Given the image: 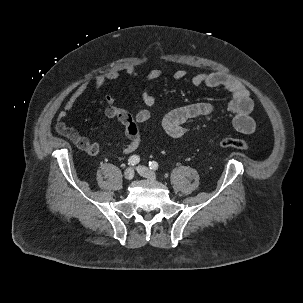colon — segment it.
Returning a JSON list of instances; mask_svg holds the SVG:
<instances>
[{
  "label": "colon",
  "instance_id": "obj_1",
  "mask_svg": "<svg viewBox=\"0 0 303 303\" xmlns=\"http://www.w3.org/2000/svg\"><path fill=\"white\" fill-rule=\"evenodd\" d=\"M219 144L222 147H231L235 149H240V150H247L249 149V145L242 139H237L231 136H225L222 137L219 140Z\"/></svg>",
  "mask_w": 303,
  "mask_h": 303
}]
</instances>
